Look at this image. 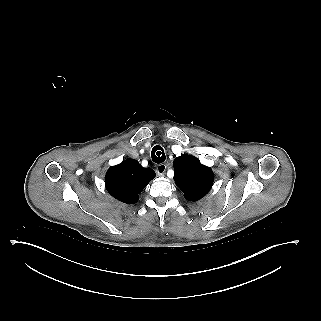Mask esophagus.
<instances>
[{
  "instance_id": "obj_1",
  "label": "esophagus",
  "mask_w": 321,
  "mask_h": 321,
  "mask_svg": "<svg viewBox=\"0 0 321 321\" xmlns=\"http://www.w3.org/2000/svg\"><path fill=\"white\" fill-rule=\"evenodd\" d=\"M166 168H167V165H166V164H159V165L156 167L157 174H158L159 176H164V175H165Z\"/></svg>"
}]
</instances>
